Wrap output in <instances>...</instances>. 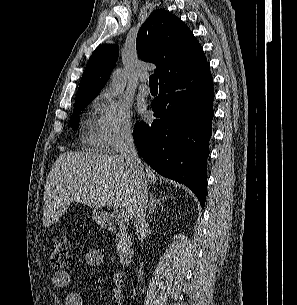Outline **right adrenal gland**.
<instances>
[{"label":"right adrenal gland","instance_id":"right-adrenal-gland-1","mask_svg":"<svg viewBox=\"0 0 297 305\" xmlns=\"http://www.w3.org/2000/svg\"><path fill=\"white\" fill-rule=\"evenodd\" d=\"M166 198H167V196H162L160 198H156V197H153L152 193H150L149 204H148L149 210H148L147 217H149L154 212V209L157 207V205Z\"/></svg>","mask_w":297,"mask_h":305}]
</instances>
